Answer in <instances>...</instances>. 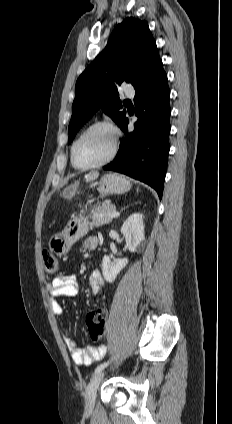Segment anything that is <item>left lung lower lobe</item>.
I'll use <instances>...</instances> for the list:
<instances>
[{
	"instance_id": "obj_1",
	"label": "left lung lower lobe",
	"mask_w": 232,
	"mask_h": 424,
	"mask_svg": "<svg viewBox=\"0 0 232 424\" xmlns=\"http://www.w3.org/2000/svg\"><path fill=\"white\" fill-rule=\"evenodd\" d=\"M134 131L128 133L125 117L120 128L125 139L120 142L116 159L104 170L126 174L154 188L162 198L169 153L170 90L160 61L148 78L135 87Z\"/></svg>"
}]
</instances>
